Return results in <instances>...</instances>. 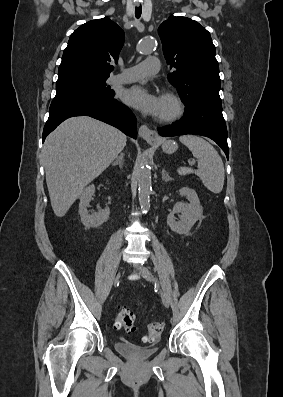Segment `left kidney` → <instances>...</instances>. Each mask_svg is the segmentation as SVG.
<instances>
[{
  "instance_id": "1",
  "label": "left kidney",
  "mask_w": 283,
  "mask_h": 397,
  "mask_svg": "<svg viewBox=\"0 0 283 397\" xmlns=\"http://www.w3.org/2000/svg\"><path fill=\"white\" fill-rule=\"evenodd\" d=\"M181 196H185L189 204L178 202L167 217V225L178 234H187L193 225L203 217V208L195 190L183 187L179 189ZM181 213L182 220L176 221L174 214Z\"/></svg>"
}]
</instances>
